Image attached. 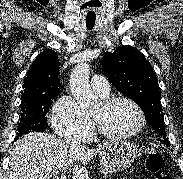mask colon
<instances>
[{
    "label": "colon",
    "instance_id": "5ec220e1",
    "mask_svg": "<svg viewBox=\"0 0 183 179\" xmlns=\"http://www.w3.org/2000/svg\"><path fill=\"white\" fill-rule=\"evenodd\" d=\"M146 167L154 175L155 179H172L165 169L162 155L154 148L149 149L147 152Z\"/></svg>",
    "mask_w": 183,
    "mask_h": 179
}]
</instances>
